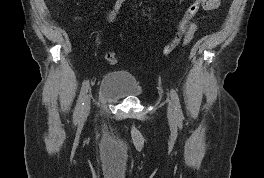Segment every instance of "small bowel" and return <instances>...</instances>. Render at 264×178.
<instances>
[{
	"label": "small bowel",
	"instance_id": "small-bowel-1",
	"mask_svg": "<svg viewBox=\"0 0 264 178\" xmlns=\"http://www.w3.org/2000/svg\"><path fill=\"white\" fill-rule=\"evenodd\" d=\"M207 1L208 3L207 6L204 8L205 10H214L218 8L220 5V0H207ZM125 2L126 0H116L112 9L107 14L106 20L109 22L113 21L117 17L120 9L122 8ZM194 25L196 26V22H194Z\"/></svg>",
	"mask_w": 264,
	"mask_h": 178
}]
</instances>
